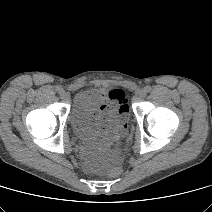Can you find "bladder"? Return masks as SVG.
<instances>
[{
  "label": "bladder",
  "instance_id": "1",
  "mask_svg": "<svg viewBox=\"0 0 212 212\" xmlns=\"http://www.w3.org/2000/svg\"><path fill=\"white\" fill-rule=\"evenodd\" d=\"M105 93L101 88H90L80 91L74 98L70 122L78 137L85 142L95 140V135L88 127L89 115Z\"/></svg>",
  "mask_w": 212,
  "mask_h": 212
}]
</instances>
